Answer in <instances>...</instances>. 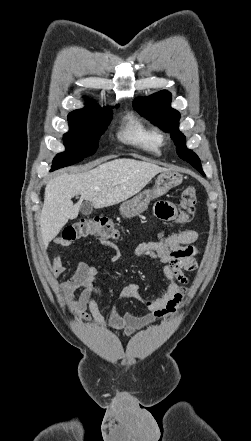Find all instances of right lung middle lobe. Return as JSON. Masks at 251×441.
I'll list each match as a JSON object with an SVG mask.
<instances>
[{
    "instance_id": "1",
    "label": "right lung middle lobe",
    "mask_w": 251,
    "mask_h": 441,
    "mask_svg": "<svg viewBox=\"0 0 251 441\" xmlns=\"http://www.w3.org/2000/svg\"><path fill=\"white\" fill-rule=\"evenodd\" d=\"M111 109L98 108L90 103L85 109L68 115L69 132L63 139L66 151L58 154L51 171L74 164L95 153L98 139L109 124Z\"/></svg>"
}]
</instances>
